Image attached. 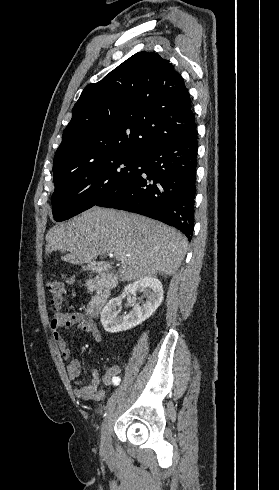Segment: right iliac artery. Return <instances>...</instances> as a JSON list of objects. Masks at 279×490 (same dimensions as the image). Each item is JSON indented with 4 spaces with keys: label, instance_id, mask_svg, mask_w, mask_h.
I'll use <instances>...</instances> for the list:
<instances>
[{
    "label": "right iliac artery",
    "instance_id": "82829eb1",
    "mask_svg": "<svg viewBox=\"0 0 279 490\" xmlns=\"http://www.w3.org/2000/svg\"><path fill=\"white\" fill-rule=\"evenodd\" d=\"M112 381L114 382L113 383V386L114 387H117L118 386V383L120 381V378L118 376H115V377L112 378Z\"/></svg>",
    "mask_w": 279,
    "mask_h": 490
}]
</instances>
